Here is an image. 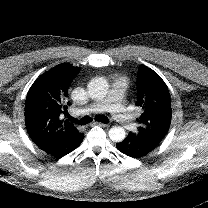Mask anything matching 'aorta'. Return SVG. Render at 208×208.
<instances>
[{
  "label": "aorta",
  "instance_id": "762f6f07",
  "mask_svg": "<svg viewBox=\"0 0 208 208\" xmlns=\"http://www.w3.org/2000/svg\"><path fill=\"white\" fill-rule=\"evenodd\" d=\"M88 93L92 99L102 100L108 93L109 85L103 78L92 79L88 86ZM109 137L114 141H122L125 138V130L123 127H113L109 130Z\"/></svg>",
  "mask_w": 208,
  "mask_h": 208
}]
</instances>
